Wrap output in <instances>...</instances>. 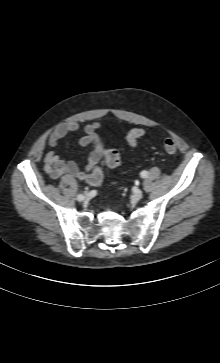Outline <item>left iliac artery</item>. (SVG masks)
<instances>
[{
	"instance_id": "44dca946",
	"label": "left iliac artery",
	"mask_w": 220,
	"mask_h": 363,
	"mask_svg": "<svg viewBox=\"0 0 220 363\" xmlns=\"http://www.w3.org/2000/svg\"><path fill=\"white\" fill-rule=\"evenodd\" d=\"M140 175L142 178H146L148 176V172L144 170L140 173Z\"/></svg>"
}]
</instances>
